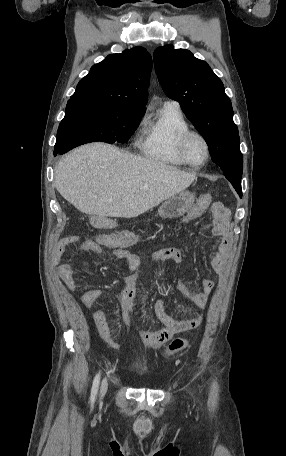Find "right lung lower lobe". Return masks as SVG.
I'll use <instances>...</instances> for the list:
<instances>
[{"instance_id": "98d812e1", "label": "right lung lower lobe", "mask_w": 286, "mask_h": 456, "mask_svg": "<svg viewBox=\"0 0 286 456\" xmlns=\"http://www.w3.org/2000/svg\"><path fill=\"white\" fill-rule=\"evenodd\" d=\"M59 152L57 150H54V156H56Z\"/></svg>"}]
</instances>
